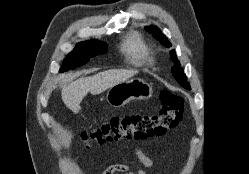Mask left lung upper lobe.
<instances>
[{
  "mask_svg": "<svg viewBox=\"0 0 249 174\" xmlns=\"http://www.w3.org/2000/svg\"><path fill=\"white\" fill-rule=\"evenodd\" d=\"M145 30L148 31L149 33H152L154 38L160 41L162 45H164L167 48H170L172 45L168 41V39L165 37L164 34L161 33V31L156 27V26H146ZM171 59L175 63V66H173L172 74L174 78L179 82L181 86H183L186 89H190V85L187 82V78L184 74V70L182 68H179L180 63L177 59L176 53L174 50H171L170 52Z\"/></svg>",
  "mask_w": 249,
  "mask_h": 174,
  "instance_id": "left-lung-upper-lobe-1",
  "label": "left lung upper lobe"
}]
</instances>
